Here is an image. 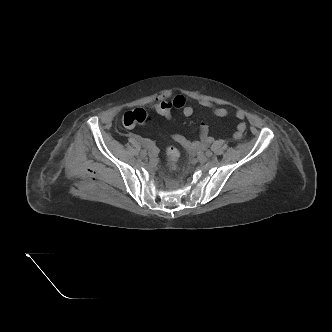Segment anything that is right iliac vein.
<instances>
[{
  "instance_id": "1",
  "label": "right iliac vein",
  "mask_w": 332,
  "mask_h": 332,
  "mask_svg": "<svg viewBox=\"0 0 332 332\" xmlns=\"http://www.w3.org/2000/svg\"><path fill=\"white\" fill-rule=\"evenodd\" d=\"M147 153H148V151L146 149L141 150V155L142 156H146Z\"/></svg>"
}]
</instances>
